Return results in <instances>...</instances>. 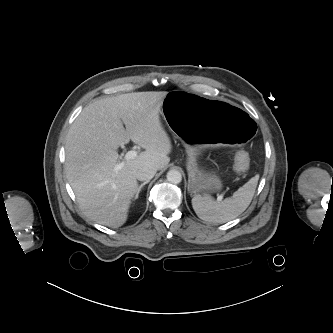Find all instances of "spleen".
Here are the masks:
<instances>
[{
  "label": "spleen",
  "mask_w": 333,
  "mask_h": 333,
  "mask_svg": "<svg viewBox=\"0 0 333 333\" xmlns=\"http://www.w3.org/2000/svg\"><path fill=\"white\" fill-rule=\"evenodd\" d=\"M258 179L259 176L251 178L234 192L232 197L222 202H216L208 195H197L192 198V207L197 216L206 222H228L247 209L254 196Z\"/></svg>",
  "instance_id": "spleen-1"
}]
</instances>
